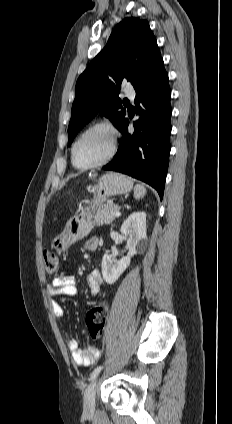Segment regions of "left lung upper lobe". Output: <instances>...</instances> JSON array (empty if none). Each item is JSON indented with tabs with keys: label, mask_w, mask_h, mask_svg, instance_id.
Masks as SVG:
<instances>
[{
	"label": "left lung upper lobe",
	"mask_w": 232,
	"mask_h": 424,
	"mask_svg": "<svg viewBox=\"0 0 232 424\" xmlns=\"http://www.w3.org/2000/svg\"><path fill=\"white\" fill-rule=\"evenodd\" d=\"M161 60L156 39L146 20L127 17L121 21L104 49L77 80L68 145L99 111L119 130L126 115L118 97L122 82L130 81L135 89Z\"/></svg>",
	"instance_id": "left-lung-upper-lobe-1"
}]
</instances>
